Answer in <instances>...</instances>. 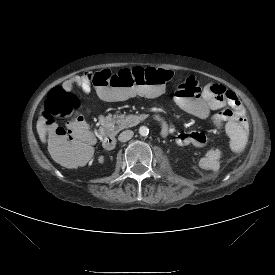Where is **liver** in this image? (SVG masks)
Wrapping results in <instances>:
<instances>
[{
    "label": "liver",
    "instance_id": "1",
    "mask_svg": "<svg viewBox=\"0 0 275 275\" xmlns=\"http://www.w3.org/2000/svg\"><path fill=\"white\" fill-rule=\"evenodd\" d=\"M43 108L40 111V117L37 121V132L39 134V137L41 139V141L43 143L46 142V132H47V128L45 125V118L43 117Z\"/></svg>",
    "mask_w": 275,
    "mask_h": 275
}]
</instances>
